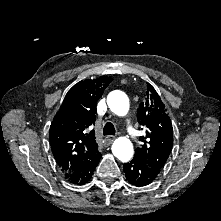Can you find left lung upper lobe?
<instances>
[{
    "label": "left lung upper lobe",
    "mask_w": 221,
    "mask_h": 221,
    "mask_svg": "<svg viewBox=\"0 0 221 221\" xmlns=\"http://www.w3.org/2000/svg\"><path fill=\"white\" fill-rule=\"evenodd\" d=\"M137 119L146 135L140 137L143 144L135 150L134 158L160 173L172 149L173 128L160 96L149 83Z\"/></svg>",
    "instance_id": "5c2ea615"
}]
</instances>
